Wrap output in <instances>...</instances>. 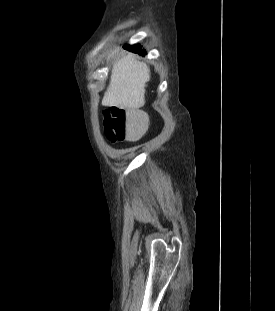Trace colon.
Returning <instances> with one entry per match:
<instances>
[{"instance_id": "colon-1", "label": "colon", "mask_w": 275, "mask_h": 311, "mask_svg": "<svg viewBox=\"0 0 275 311\" xmlns=\"http://www.w3.org/2000/svg\"><path fill=\"white\" fill-rule=\"evenodd\" d=\"M105 133L111 143L141 137L148 126L147 116L138 111L113 107L106 112Z\"/></svg>"}]
</instances>
